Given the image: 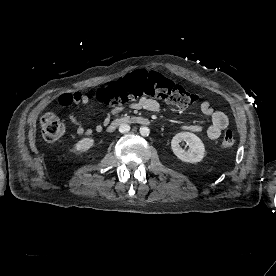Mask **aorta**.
<instances>
[{"label":"aorta","mask_w":276,"mask_h":276,"mask_svg":"<svg viewBox=\"0 0 276 276\" xmlns=\"http://www.w3.org/2000/svg\"><path fill=\"white\" fill-rule=\"evenodd\" d=\"M140 134L142 136H148L150 134V129L148 127L142 126L140 128Z\"/></svg>","instance_id":"obj_1"}]
</instances>
